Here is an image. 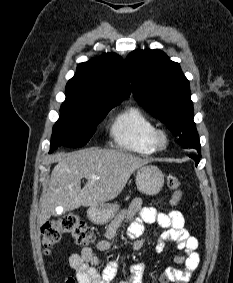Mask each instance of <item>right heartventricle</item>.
I'll return each mask as SVG.
<instances>
[{
    "label": "right heart ventricle",
    "instance_id": "e07e8e85",
    "mask_svg": "<svg viewBox=\"0 0 233 283\" xmlns=\"http://www.w3.org/2000/svg\"><path fill=\"white\" fill-rule=\"evenodd\" d=\"M156 126L140 108L131 106L121 111L110 127L111 137L119 148L140 155H152L156 149L152 136Z\"/></svg>",
    "mask_w": 233,
    "mask_h": 283
}]
</instances>
